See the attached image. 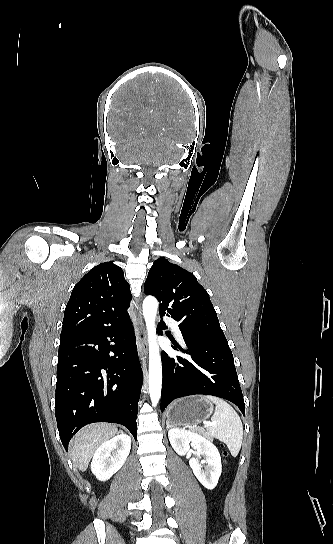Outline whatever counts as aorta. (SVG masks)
I'll use <instances>...</instances> for the list:
<instances>
[{"label":"aorta","mask_w":333,"mask_h":544,"mask_svg":"<svg viewBox=\"0 0 333 544\" xmlns=\"http://www.w3.org/2000/svg\"><path fill=\"white\" fill-rule=\"evenodd\" d=\"M158 306V301L153 296H147L143 301V316L149 342V395L153 406H156L160 400L162 387V363L156 341L155 325Z\"/></svg>","instance_id":"obj_1"}]
</instances>
